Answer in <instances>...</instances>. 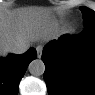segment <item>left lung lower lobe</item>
Instances as JSON below:
<instances>
[{
  "instance_id": "1",
  "label": "left lung lower lobe",
  "mask_w": 95,
  "mask_h": 95,
  "mask_svg": "<svg viewBox=\"0 0 95 95\" xmlns=\"http://www.w3.org/2000/svg\"><path fill=\"white\" fill-rule=\"evenodd\" d=\"M42 60L50 95H95V27L49 42Z\"/></svg>"
}]
</instances>
